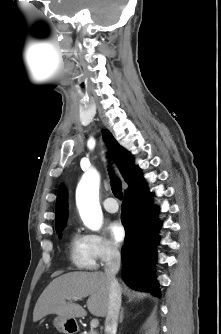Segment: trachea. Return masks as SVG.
I'll return each instance as SVG.
<instances>
[{
	"mask_svg": "<svg viewBox=\"0 0 221 334\" xmlns=\"http://www.w3.org/2000/svg\"><path fill=\"white\" fill-rule=\"evenodd\" d=\"M110 176H111V189L115 197L122 199V184L121 181L115 177L114 172L110 168Z\"/></svg>",
	"mask_w": 221,
	"mask_h": 334,
	"instance_id": "obj_1",
	"label": "trachea"
}]
</instances>
